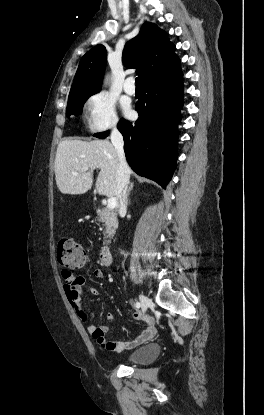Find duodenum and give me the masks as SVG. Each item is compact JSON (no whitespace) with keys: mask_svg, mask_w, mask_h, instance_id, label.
Segmentation results:
<instances>
[{"mask_svg":"<svg viewBox=\"0 0 264 415\" xmlns=\"http://www.w3.org/2000/svg\"><path fill=\"white\" fill-rule=\"evenodd\" d=\"M101 260L106 266H111L113 263V254L110 246H105L101 252Z\"/></svg>","mask_w":264,"mask_h":415,"instance_id":"duodenum-1","label":"duodenum"}]
</instances>
